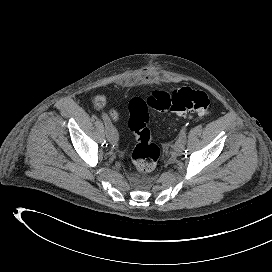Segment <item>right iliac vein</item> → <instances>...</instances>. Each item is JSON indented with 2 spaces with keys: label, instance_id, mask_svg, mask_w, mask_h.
Masks as SVG:
<instances>
[{
  "label": "right iliac vein",
  "instance_id": "1",
  "mask_svg": "<svg viewBox=\"0 0 272 272\" xmlns=\"http://www.w3.org/2000/svg\"><path fill=\"white\" fill-rule=\"evenodd\" d=\"M105 130L107 140L110 143H116L118 141V134L110 120L107 122V125H105Z\"/></svg>",
  "mask_w": 272,
  "mask_h": 272
}]
</instances>
